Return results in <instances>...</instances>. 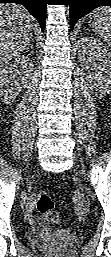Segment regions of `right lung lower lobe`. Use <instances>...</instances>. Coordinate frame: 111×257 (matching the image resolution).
I'll list each match as a JSON object with an SVG mask.
<instances>
[{"mask_svg":"<svg viewBox=\"0 0 111 257\" xmlns=\"http://www.w3.org/2000/svg\"><path fill=\"white\" fill-rule=\"evenodd\" d=\"M0 3L22 4L40 23L42 31L45 27L46 4L48 0H0Z\"/></svg>","mask_w":111,"mask_h":257,"instance_id":"1","label":"right lung lower lobe"}]
</instances>
